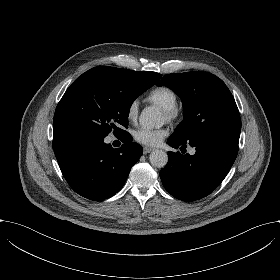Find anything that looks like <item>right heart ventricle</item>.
<instances>
[{
	"label": "right heart ventricle",
	"instance_id": "right-heart-ventricle-1",
	"mask_svg": "<svg viewBox=\"0 0 280 280\" xmlns=\"http://www.w3.org/2000/svg\"><path fill=\"white\" fill-rule=\"evenodd\" d=\"M147 100L159 105L162 109L175 108L178 96L174 90L167 86H155L147 94Z\"/></svg>",
	"mask_w": 280,
	"mask_h": 280
}]
</instances>
